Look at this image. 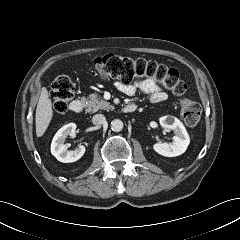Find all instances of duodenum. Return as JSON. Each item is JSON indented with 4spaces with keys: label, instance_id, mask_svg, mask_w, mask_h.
<instances>
[{
    "label": "duodenum",
    "instance_id": "410a0bca",
    "mask_svg": "<svg viewBox=\"0 0 240 240\" xmlns=\"http://www.w3.org/2000/svg\"><path fill=\"white\" fill-rule=\"evenodd\" d=\"M83 108L82 101L80 99H73L69 104V109L73 113H80ZM137 109V105L134 103L127 104L122 108L125 113H132Z\"/></svg>",
    "mask_w": 240,
    "mask_h": 240
}]
</instances>
